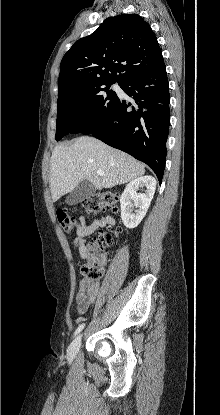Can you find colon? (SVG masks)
Segmentation results:
<instances>
[{"label": "colon", "mask_w": 220, "mask_h": 415, "mask_svg": "<svg viewBox=\"0 0 220 415\" xmlns=\"http://www.w3.org/2000/svg\"><path fill=\"white\" fill-rule=\"evenodd\" d=\"M119 204L120 199L117 193L101 191L83 199L82 208L90 215H97L105 211L117 212ZM56 215L59 224L66 231L72 232L77 228L74 217L67 211L58 210ZM112 234L113 230H109L85 243L87 260L82 265L81 272L86 281L93 282L102 277L104 271L102 253L111 245L113 240Z\"/></svg>", "instance_id": "colon-1"}]
</instances>
